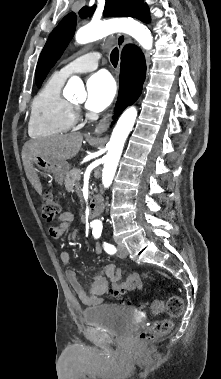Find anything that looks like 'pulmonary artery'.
I'll return each instance as SVG.
<instances>
[{
	"instance_id": "obj_1",
	"label": "pulmonary artery",
	"mask_w": 221,
	"mask_h": 379,
	"mask_svg": "<svg viewBox=\"0 0 221 379\" xmlns=\"http://www.w3.org/2000/svg\"><path fill=\"white\" fill-rule=\"evenodd\" d=\"M100 57L98 52L86 53L62 67L56 74L66 79L76 73L93 71L97 69Z\"/></svg>"
}]
</instances>
